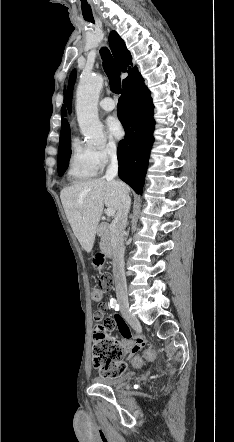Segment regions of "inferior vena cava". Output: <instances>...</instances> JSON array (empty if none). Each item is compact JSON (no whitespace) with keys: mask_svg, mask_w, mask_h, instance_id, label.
Returning a JSON list of instances; mask_svg holds the SVG:
<instances>
[{"mask_svg":"<svg viewBox=\"0 0 234 442\" xmlns=\"http://www.w3.org/2000/svg\"><path fill=\"white\" fill-rule=\"evenodd\" d=\"M110 164L107 167L104 178L113 180L118 174V161L116 149H108ZM131 206V198L123 193L117 214L111 225V243L113 248V276L116 295L120 299L127 300V285L124 271V230L127 224V216Z\"/></svg>","mask_w":234,"mask_h":442,"instance_id":"obj_1","label":"inferior vena cava"}]
</instances>
